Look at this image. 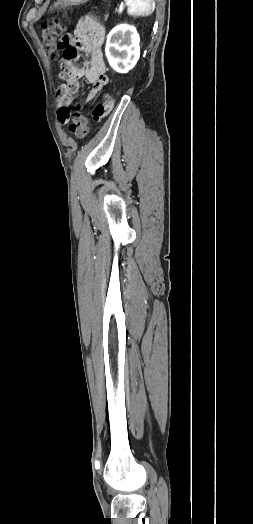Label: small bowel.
Wrapping results in <instances>:
<instances>
[{
	"label": "small bowel",
	"instance_id": "obj_1",
	"mask_svg": "<svg viewBox=\"0 0 253 524\" xmlns=\"http://www.w3.org/2000/svg\"><path fill=\"white\" fill-rule=\"evenodd\" d=\"M104 37L103 25L93 16L86 15L77 21L75 32L67 29L57 38L59 43L57 50L60 52V67L64 80L58 89V104L61 107L69 106L79 89L80 80L84 78L92 85L85 103L91 102L100 92L99 98L93 102L92 115L95 121L109 118L116 103L112 91L102 89L108 83L102 52ZM79 49L90 55V60L82 66L74 64L79 59L76 51Z\"/></svg>",
	"mask_w": 253,
	"mask_h": 524
}]
</instances>
